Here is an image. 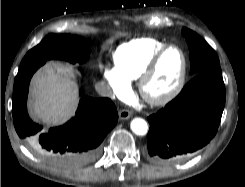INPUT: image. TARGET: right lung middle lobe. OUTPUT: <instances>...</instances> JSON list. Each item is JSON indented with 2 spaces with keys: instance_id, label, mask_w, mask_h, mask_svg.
I'll use <instances>...</instances> for the list:
<instances>
[{
  "instance_id": "dd1d6c3e",
  "label": "right lung middle lobe",
  "mask_w": 245,
  "mask_h": 187,
  "mask_svg": "<svg viewBox=\"0 0 245 187\" xmlns=\"http://www.w3.org/2000/svg\"><path fill=\"white\" fill-rule=\"evenodd\" d=\"M88 55L89 43L85 39L77 36L71 37L70 34H49L25 55L21 64L50 59L83 63L87 60Z\"/></svg>"
}]
</instances>
